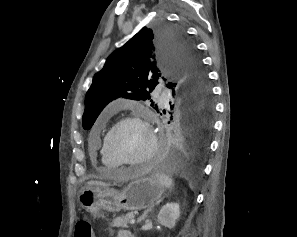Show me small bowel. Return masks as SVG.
Listing matches in <instances>:
<instances>
[{"label": "small bowel", "mask_w": 297, "mask_h": 237, "mask_svg": "<svg viewBox=\"0 0 297 237\" xmlns=\"http://www.w3.org/2000/svg\"><path fill=\"white\" fill-rule=\"evenodd\" d=\"M129 235L130 234L127 231L123 230V231L120 232L119 237H127Z\"/></svg>", "instance_id": "obj_1"}]
</instances>
